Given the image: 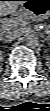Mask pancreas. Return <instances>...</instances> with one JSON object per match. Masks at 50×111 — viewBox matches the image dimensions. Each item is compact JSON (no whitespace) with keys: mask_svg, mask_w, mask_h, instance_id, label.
Returning <instances> with one entry per match:
<instances>
[{"mask_svg":"<svg viewBox=\"0 0 50 111\" xmlns=\"http://www.w3.org/2000/svg\"><path fill=\"white\" fill-rule=\"evenodd\" d=\"M26 18L27 17L25 15H20L13 19H8V20H6V22L4 24V28L11 29V28L16 27L17 25L24 26L26 24V21H25ZM28 18H31V16H28Z\"/></svg>","mask_w":50,"mask_h":111,"instance_id":"pancreas-1","label":"pancreas"}]
</instances>
